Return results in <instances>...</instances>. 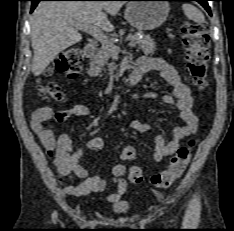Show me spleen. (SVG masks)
I'll list each match as a JSON object with an SVG mask.
<instances>
[{"label":"spleen","mask_w":234,"mask_h":231,"mask_svg":"<svg viewBox=\"0 0 234 231\" xmlns=\"http://www.w3.org/2000/svg\"><path fill=\"white\" fill-rule=\"evenodd\" d=\"M182 9L184 11V14L191 20H193L196 23H203L205 18L203 13L196 8L194 5L190 3H184L182 5Z\"/></svg>","instance_id":"spleen-1"}]
</instances>
